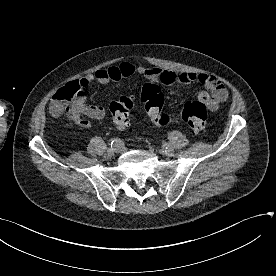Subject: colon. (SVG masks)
I'll return each instance as SVG.
<instances>
[{"label": "colon", "instance_id": "colon-1", "mask_svg": "<svg viewBox=\"0 0 276 276\" xmlns=\"http://www.w3.org/2000/svg\"><path fill=\"white\" fill-rule=\"evenodd\" d=\"M82 95V88L78 81H73L60 88L53 96L52 108L56 113L67 116L75 112L76 100ZM146 113L150 120L160 127L173 123H184L195 132H202L207 126L206 105L201 101H188L181 113L171 117L162 111L164 97L161 88L156 83H147L140 94ZM134 105L132 97H122L110 104V112L115 126L125 131L130 127L131 110Z\"/></svg>", "mask_w": 276, "mask_h": 276}]
</instances>
